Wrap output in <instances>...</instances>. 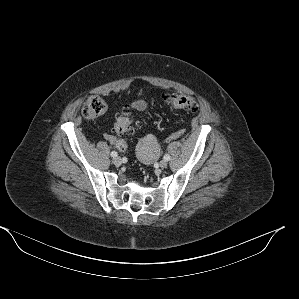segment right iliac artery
<instances>
[{
    "label": "right iliac artery",
    "instance_id": "obj_1",
    "mask_svg": "<svg viewBox=\"0 0 299 299\" xmlns=\"http://www.w3.org/2000/svg\"><path fill=\"white\" fill-rule=\"evenodd\" d=\"M117 155H118L117 152H115V151H112V152H111V156H112V157H116Z\"/></svg>",
    "mask_w": 299,
    "mask_h": 299
}]
</instances>
